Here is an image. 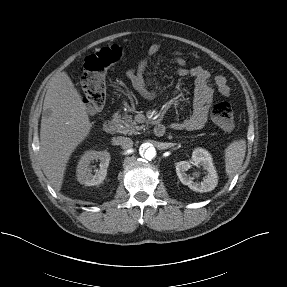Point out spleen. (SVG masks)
<instances>
[{
  "label": "spleen",
  "instance_id": "3e777b00",
  "mask_svg": "<svg viewBox=\"0 0 287 287\" xmlns=\"http://www.w3.org/2000/svg\"><path fill=\"white\" fill-rule=\"evenodd\" d=\"M246 152L244 139L231 142L225 149V171L229 177L234 176L242 166Z\"/></svg>",
  "mask_w": 287,
  "mask_h": 287
}]
</instances>
